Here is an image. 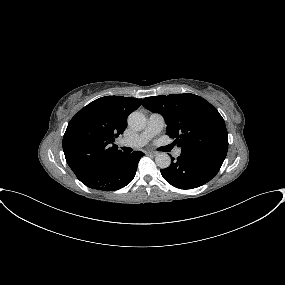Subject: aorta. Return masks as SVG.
<instances>
[{
    "label": "aorta",
    "instance_id": "aorta-1",
    "mask_svg": "<svg viewBox=\"0 0 285 285\" xmlns=\"http://www.w3.org/2000/svg\"><path fill=\"white\" fill-rule=\"evenodd\" d=\"M146 117L143 113L134 111L128 117V125L134 130H142L146 126ZM156 165L161 169L168 168L171 164V158L167 153H160L155 158Z\"/></svg>",
    "mask_w": 285,
    "mask_h": 285
}]
</instances>
